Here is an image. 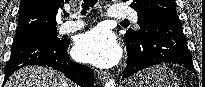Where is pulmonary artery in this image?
<instances>
[{
    "label": "pulmonary artery",
    "mask_w": 205,
    "mask_h": 87,
    "mask_svg": "<svg viewBox=\"0 0 205 87\" xmlns=\"http://www.w3.org/2000/svg\"><path fill=\"white\" fill-rule=\"evenodd\" d=\"M108 15L110 18H115V19L130 18L133 21L138 20V15L135 11L121 4L112 5L110 7ZM83 26H84V22L81 20L64 22L59 26V32L60 33H71V32L79 30Z\"/></svg>",
    "instance_id": "obj_1"
}]
</instances>
